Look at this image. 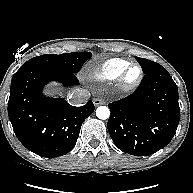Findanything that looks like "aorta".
I'll return each mask as SVG.
<instances>
[{
    "label": "aorta",
    "mask_w": 193,
    "mask_h": 193,
    "mask_svg": "<svg viewBox=\"0 0 193 193\" xmlns=\"http://www.w3.org/2000/svg\"><path fill=\"white\" fill-rule=\"evenodd\" d=\"M96 116L99 119L105 120L108 119L110 116V110L106 106H100L96 109Z\"/></svg>",
    "instance_id": "aorta-1"
}]
</instances>
